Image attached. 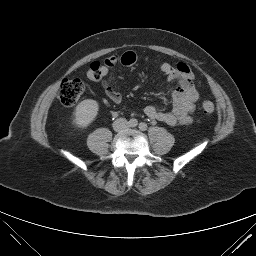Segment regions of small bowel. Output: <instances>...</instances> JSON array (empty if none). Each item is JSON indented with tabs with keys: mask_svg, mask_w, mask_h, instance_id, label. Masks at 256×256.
Returning <instances> with one entry per match:
<instances>
[{
	"mask_svg": "<svg viewBox=\"0 0 256 256\" xmlns=\"http://www.w3.org/2000/svg\"><path fill=\"white\" fill-rule=\"evenodd\" d=\"M140 55L127 51L120 56H111L103 63V76L117 64L130 67L140 60ZM168 81H175L178 86L172 91L173 107L169 112L158 110L154 105L144 108L145 114L152 120L166 123L169 126L188 125L193 122V115L199 94L194 85V75L184 63L171 64L164 62L160 67ZM105 94L114 103L122 101V95L109 82L102 83Z\"/></svg>",
	"mask_w": 256,
	"mask_h": 256,
	"instance_id": "1",
	"label": "small bowel"
}]
</instances>
